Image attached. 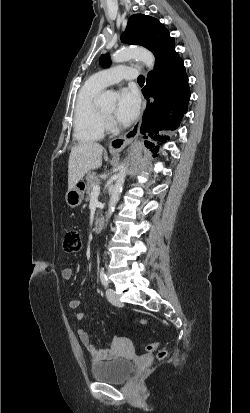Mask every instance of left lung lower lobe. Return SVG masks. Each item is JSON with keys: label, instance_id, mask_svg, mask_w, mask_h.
I'll return each instance as SVG.
<instances>
[{"label": "left lung lower lobe", "instance_id": "1", "mask_svg": "<svg viewBox=\"0 0 250 413\" xmlns=\"http://www.w3.org/2000/svg\"><path fill=\"white\" fill-rule=\"evenodd\" d=\"M153 54L155 68L148 73L146 86L142 89L147 105L141 133L150 132L151 138L161 145L169 137L157 135L158 131L178 128L188 109L190 89L184 62L172 43L155 49ZM145 144L148 148L154 147L152 142L145 141ZM152 152L156 153L158 149L154 148Z\"/></svg>", "mask_w": 250, "mask_h": 413}]
</instances>
